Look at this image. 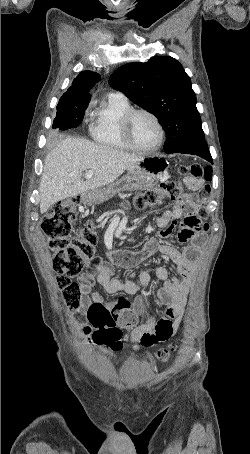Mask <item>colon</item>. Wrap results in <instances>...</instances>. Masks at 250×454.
<instances>
[{
	"label": "colon",
	"mask_w": 250,
	"mask_h": 454,
	"mask_svg": "<svg viewBox=\"0 0 250 454\" xmlns=\"http://www.w3.org/2000/svg\"><path fill=\"white\" fill-rule=\"evenodd\" d=\"M182 171L190 177L204 179L205 181H210L212 178L210 167L185 165ZM181 192L180 180L167 181L158 187L135 195L132 204L138 209H143L164 199H177ZM210 193V187L205 186L200 193L201 199L206 201ZM78 202L79 197L76 196L56 202L41 223L52 252V266L58 275L57 284L67 308L72 312L79 310L82 301L80 286L72 279L79 275L93 259L97 244L96 227L93 222L87 223L78 233H73ZM197 216L199 219H206L207 210L205 207L198 208ZM207 229L208 225L202 222L201 230L207 231ZM86 316L94 329L92 333L94 343L104 344L111 350L117 351L122 348L123 341L128 338L131 339V335L129 337L123 335L122 329L130 330L131 334L134 328L132 317L123 316L120 318L101 303L91 304L86 311ZM173 350V345L161 349L157 353V359L161 362H168Z\"/></svg>",
	"instance_id": "1"
}]
</instances>
